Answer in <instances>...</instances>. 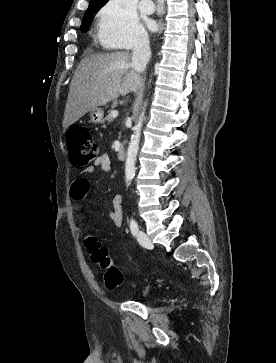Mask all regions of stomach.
Instances as JSON below:
<instances>
[{"label":"stomach","mask_w":276,"mask_h":363,"mask_svg":"<svg viewBox=\"0 0 276 363\" xmlns=\"http://www.w3.org/2000/svg\"><path fill=\"white\" fill-rule=\"evenodd\" d=\"M90 121L94 124L101 123L103 121L104 111L101 108H95L90 111Z\"/></svg>","instance_id":"1"}]
</instances>
